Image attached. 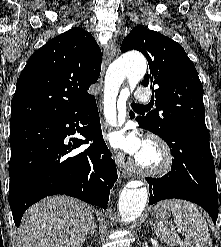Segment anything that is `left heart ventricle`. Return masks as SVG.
<instances>
[{
  "label": "left heart ventricle",
  "mask_w": 221,
  "mask_h": 247,
  "mask_svg": "<svg viewBox=\"0 0 221 247\" xmlns=\"http://www.w3.org/2000/svg\"><path fill=\"white\" fill-rule=\"evenodd\" d=\"M138 157L145 164H154L157 161V155L154 150L150 147L143 146Z\"/></svg>",
  "instance_id": "left-heart-ventricle-1"
}]
</instances>
